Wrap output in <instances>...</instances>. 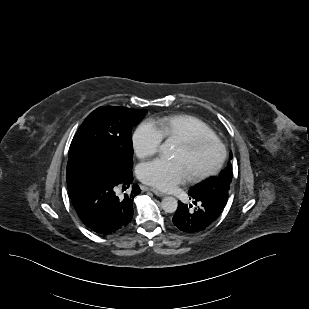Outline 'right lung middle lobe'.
Here are the masks:
<instances>
[{"label": "right lung middle lobe", "mask_w": 309, "mask_h": 309, "mask_svg": "<svg viewBox=\"0 0 309 309\" xmlns=\"http://www.w3.org/2000/svg\"><path fill=\"white\" fill-rule=\"evenodd\" d=\"M147 110L105 106L94 110L75 134L68 153L70 160H88L120 176L132 169L131 130Z\"/></svg>", "instance_id": "1"}]
</instances>
